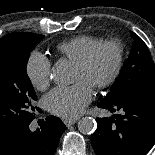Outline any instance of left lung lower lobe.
<instances>
[{"mask_svg": "<svg viewBox=\"0 0 155 155\" xmlns=\"http://www.w3.org/2000/svg\"><path fill=\"white\" fill-rule=\"evenodd\" d=\"M100 108L124 115L99 118L92 136L97 155H146L155 141V85L127 93Z\"/></svg>", "mask_w": 155, "mask_h": 155, "instance_id": "obj_1", "label": "left lung lower lobe"}]
</instances>
